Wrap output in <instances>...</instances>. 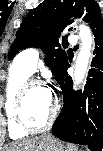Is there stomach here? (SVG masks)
Returning <instances> with one entry per match:
<instances>
[{"instance_id":"0dacf381","label":"stomach","mask_w":103,"mask_h":151,"mask_svg":"<svg viewBox=\"0 0 103 151\" xmlns=\"http://www.w3.org/2000/svg\"><path fill=\"white\" fill-rule=\"evenodd\" d=\"M29 151H66L63 144L52 135L40 136Z\"/></svg>"}]
</instances>
